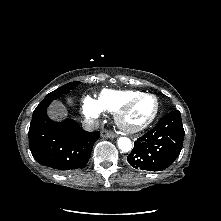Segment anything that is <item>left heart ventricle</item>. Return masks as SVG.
<instances>
[{"label": "left heart ventricle", "instance_id": "obj_1", "mask_svg": "<svg viewBox=\"0 0 221 221\" xmlns=\"http://www.w3.org/2000/svg\"><path fill=\"white\" fill-rule=\"evenodd\" d=\"M155 100L152 97H145L134 103L125 115V122L131 126H138L145 123L154 113Z\"/></svg>", "mask_w": 221, "mask_h": 221}]
</instances>
